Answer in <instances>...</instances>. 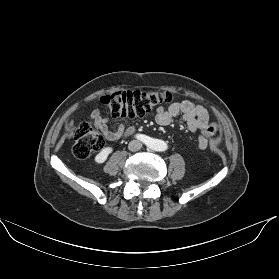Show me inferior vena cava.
Returning a JSON list of instances; mask_svg holds the SVG:
<instances>
[{
  "instance_id": "inferior-vena-cava-1",
  "label": "inferior vena cava",
  "mask_w": 279,
  "mask_h": 279,
  "mask_svg": "<svg viewBox=\"0 0 279 279\" xmlns=\"http://www.w3.org/2000/svg\"><path fill=\"white\" fill-rule=\"evenodd\" d=\"M128 148L130 151H138L142 148V143L138 140H133L129 143Z\"/></svg>"
}]
</instances>
